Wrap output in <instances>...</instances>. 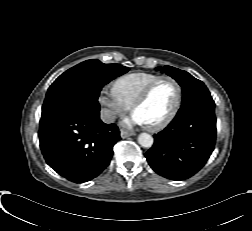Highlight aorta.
Masks as SVG:
<instances>
[{"label": "aorta", "instance_id": "762f6f07", "mask_svg": "<svg viewBox=\"0 0 252 231\" xmlns=\"http://www.w3.org/2000/svg\"><path fill=\"white\" fill-rule=\"evenodd\" d=\"M153 137L148 133H141L138 136V143L144 148H150L153 145Z\"/></svg>", "mask_w": 252, "mask_h": 231}]
</instances>
